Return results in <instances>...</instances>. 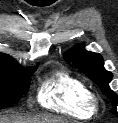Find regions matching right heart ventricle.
Here are the masks:
<instances>
[{
	"mask_svg": "<svg viewBox=\"0 0 118 123\" xmlns=\"http://www.w3.org/2000/svg\"><path fill=\"white\" fill-rule=\"evenodd\" d=\"M90 90L79 77L63 70L46 77L38 91L44 108L77 119H90L95 112L88 105Z\"/></svg>",
	"mask_w": 118,
	"mask_h": 123,
	"instance_id": "1",
	"label": "right heart ventricle"
}]
</instances>
